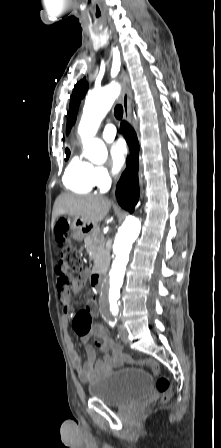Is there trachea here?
Listing matches in <instances>:
<instances>
[{
  "label": "trachea",
  "instance_id": "obj_1",
  "mask_svg": "<svg viewBox=\"0 0 221 448\" xmlns=\"http://www.w3.org/2000/svg\"><path fill=\"white\" fill-rule=\"evenodd\" d=\"M114 115H115V117L118 120H120L122 118V116H123V107H122V105L118 104V105L115 106V108H114Z\"/></svg>",
  "mask_w": 221,
  "mask_h": 448
}]
</instances>
